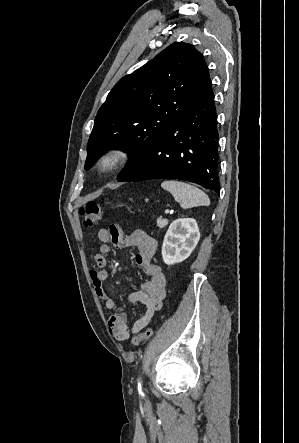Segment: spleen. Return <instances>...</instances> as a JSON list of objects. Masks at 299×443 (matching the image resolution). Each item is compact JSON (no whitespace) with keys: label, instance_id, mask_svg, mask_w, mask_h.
<instances>
[{"label":"spleen","instance_id":"3e777b00","mask_svg":"<svg viewBox=\"0 0 299 443\" xmlns=\"http://www.w3.org/2000/svg\"><path fill=\"white\" fill-rule=\"evenodd\" d=\"M161 187L169 191L184 209L210 205L209 197L202 190L185 182L166 180Z\"/></svg>","mask_w":299,"mask_h":443}]
</instances>
